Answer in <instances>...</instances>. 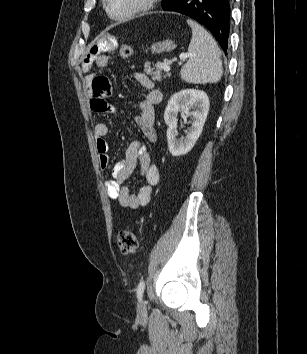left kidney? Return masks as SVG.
I'll list each match as a JSON object with an SVG mask.
<instances>
[{
  "mask_svg": "<svg viewBox=\"0 0 307 354\" xmlns=\"http://www.w3.org/2000/svg\"><path fill=\"white\" fill-rule=\"evenodd\" d=\"M209 98L204 91L183 89L175 93L169 100L164 112V120L168 126V148L173 156L188 153L202 133L209 111ZM193 109V111H190ZM183 111L192 117L191 127L184 138L177 139V114Z\"/></svg>",
  "mask_w": 307,
  "mask_h": 354,
  "instance_id": "obj_1",
  "label": "left kidney"
}]
</instances>
